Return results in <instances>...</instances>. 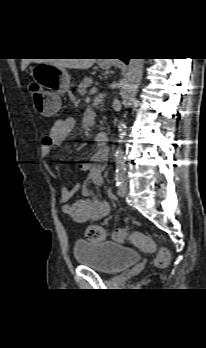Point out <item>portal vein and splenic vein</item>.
Instances as JSON below:
<instances>
[{"label":"portal vein and splenic vein","mask_w":206,"mask_h":348,"mask_svg":"<svg viewBox=\"0 0 206 348\" xmlns=\"http://www.w3.org/2000/svg\"><path fill=\"white\" fill-rule=\"evenodd\" d=\"M97 92V88L93 87L90 89V94H95Z\"/></svg>","instance_id":"18ae733b"}]
</instances>
